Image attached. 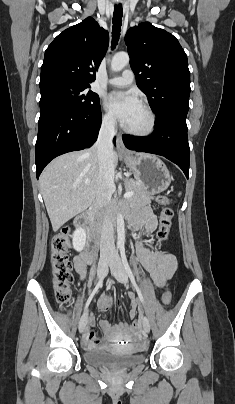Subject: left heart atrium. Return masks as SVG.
I'll return each instance as SVG.
<instances>
[{
	"label": "left heart atrium",
	"mask_w": 235,
	"mask_h": 404,
	"mask_svg": "<svg viewBox=\"0 0 235 404\" xmlns=\"http://www.w3.org/2000/svg\"><path fill=\"white\" fill-rule=\"evenodd\" d=\"M140 103L136 96L127 92H112L106 98L107 108L126 124Z\"/></svg>",
	"instance_id": "1"
}]
</instances>
